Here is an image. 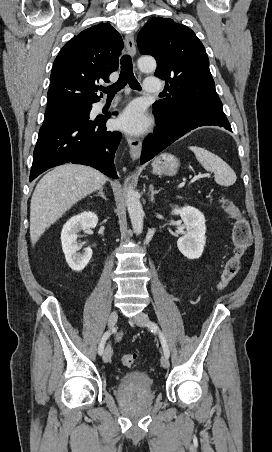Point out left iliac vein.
<instances>
[{
	"mask_svg": "<svg viewBox=\"0 0 272 452\" xmlns=\"http://www.w3.org/2000/svg\"><path fill=\"white\" fill-rule=\"evenodd\" d=\"M148 316L145 313H139L136 317L132 318L131 321L134 322L135 324L142 326V327H146L148 326ZM161 365L164 368H169L170 366V362H169V358L164 354L162 355L161 359H160Z\"/></svg>",
	"mask_w": 272,
	"mask_h": 452,
	"instance_id": "4c4485c4",
	"label": "left iliac vein"
}]
</instances>
